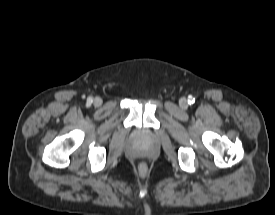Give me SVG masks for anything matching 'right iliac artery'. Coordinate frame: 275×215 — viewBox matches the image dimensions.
<instances>
[{
    "mask_svg": "<svg viewBox=\"0 0 275 215\" xmlns=\"http://www.w3.org/2000/svg\"><path fill=\"white\" fill-rule=\"evenodd\" d=\"M92 102H93L92 97H88V99H87V103H88V104H91Z\"/></svg>",
    "mask_w": 275,
    "mask_h": 215,
    "instance_id": "1",
    "label": "right iliac artery"
}]
</instances>
